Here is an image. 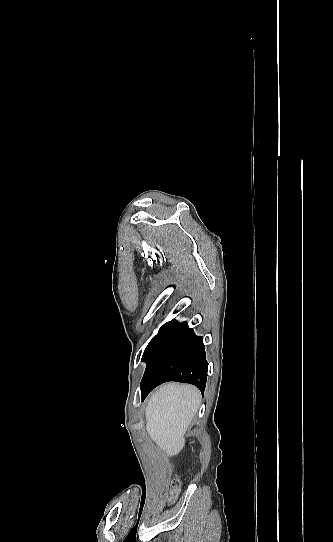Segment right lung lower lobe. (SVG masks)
Masks as SVG:
<instances>
[{"label": "right lung lower lobe", "mask_w": 333, "mask_h": 542, "mask_svg": "<svg viewBox=\"0 0 333 542\" xmlns=\"http://www.w3.org/2000/svg\"><path fill=\"white\" fill-rule=\"evenodd\" d=\"M142 360L147 363L140 384L142 400L168 381L190 383L204 393L208 363L203 338L196 336L187 322L172 320L164 324L148 344Z\"/></svg>", "instance_id": "98d812e1"}]
</instances>
